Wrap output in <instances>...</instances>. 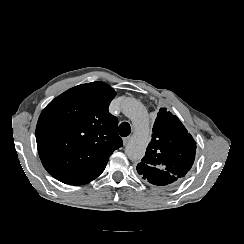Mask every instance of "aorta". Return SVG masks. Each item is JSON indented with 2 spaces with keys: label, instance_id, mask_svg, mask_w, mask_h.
<instances>
[{
  "label": "aorta",
  "instance_id": "1",
  "mask_svg": "<svg viewBox=\"0 0 244 244\" xmlns=\"http://www.w3.org/2000/svg\"><path fill=\"white\" fill-rule=\"evenodd\" d=\"M122 111L135 128L134 134L125 147V154L130 160L137 161L144 156L149 141L148 114L139 101L131 98L123 101Z\"/></svg>",
  "mask_w": 244,
  "mask_h": 244
}]
</instances>
